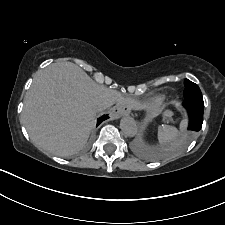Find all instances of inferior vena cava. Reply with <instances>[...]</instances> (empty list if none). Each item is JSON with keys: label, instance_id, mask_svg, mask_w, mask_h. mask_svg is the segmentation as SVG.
<instances>
[{"label": "inferior vena cava", "instance_id": "inferior-vena-cava-1", "mask_svg": "<svg viewBox=\"0 0 225 225\" xmlns=\"http://www.w3.org/2000/svg\"><path fill=\"white\" fill-rule=\"evenodd\" d=\"M107 108H108V105H107L106 103H101V104H99V106H98V110H99V111L105 110V109H107Z\"/></svg>", "mask_w": 225, "mask_h": 225}]
</instances>
